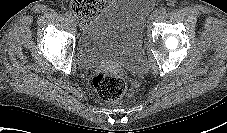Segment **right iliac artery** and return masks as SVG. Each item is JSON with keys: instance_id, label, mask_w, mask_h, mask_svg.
Masks as SVG:
<instances>
[{"instance_id": "obj_1", "label": "right iliac artery", "mask_w": 227, "mask_h": 133, "mask_svg": "<svg viewBox=\"0 0 227 133\" xmlns=\"http://www.w3.org/2000/svg\"><path fill=\"white\" fill-rule=\"evenodd\" d=\"M64 15H65V17L68 18V19H70L71 16H72V14H71L70 12H66Z\"/></svg>"}]
</instances>
